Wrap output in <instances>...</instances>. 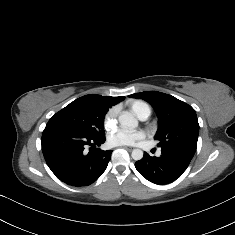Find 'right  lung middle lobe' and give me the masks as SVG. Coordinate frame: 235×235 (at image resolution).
Segmentation results:
<instances>
[{
	"instance_id": "obj_1",
	"label": "right lung middle lobe",
	"mask_w": 235,
	"mask_h": 235,
	"mask_svg": "<svg viewBox=\"0 0 235 235\" xmlns=\"http://www.w3.org/2000/svg\"><path fill=\"white\" fill-rule=\"evenodd\" d=\"M105 114L106 112L73 101L50 118L49 122L71 127L94 138H104Z\"/></svg>"
}]
</instances>
